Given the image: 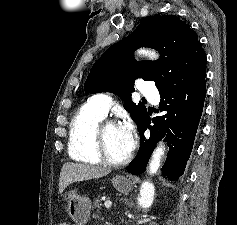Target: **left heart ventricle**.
Here are the masks:
<instances>
[{
    "label": "left heart ventricle",
    "mask_w": 237,
    "mask_h": 225,
    "mask_svg": "<svg viewBox=\"0 0 237 225\" xmlns=\"http://www.w3.org/2000/svg\"><path fill=\"white\" fill-rule=\"evenodd\" d=\"M104 141L106 152L112 160L119 161L127 157L124 137L119 126L108 127Z\"/></svg>",
    "instance_id": "obj_1"
}]
</instances>
